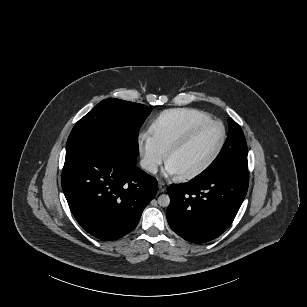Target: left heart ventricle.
Wrapping results in <instances>:
<instances>
[{
	"label": "left heart ventricle",
	"mask_w": 307,
	"mask_h": 307,
	"mask_svg": "<svg viewBox=\"0 0 307 307\" xmlns=\"http://www.w3.org/2000/svg\"><path fill=\"white\" fill-rule=\"evenodd\" d=\"M224 136V128L216 123L209 126L186 148L174 154L169 164L177 175L191 171L205 163L217 150Z\"/></svg>",
	"instance_id": "left-heart-ventricle-1"
}]
</instances>
